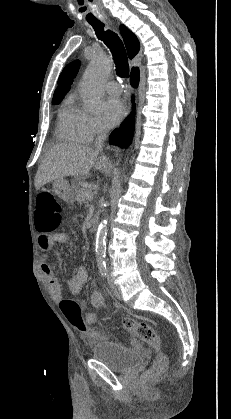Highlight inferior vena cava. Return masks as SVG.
<instances>
[{
    "instance_id": "inferior-vena-cava-1",
    "label": "inferior vena cava",
    "mask_w": 231,
    "mask_h": 419,
    "mask_svg": "<svg viewBox=\"0 0 231 419\" xmlns=\"http://www.w3.org/2000/svg\"><path fill=\"white\" fill-rule=\"evenodd\" d=\"M105 137H106V131L102 130L100 134L98 135V137L96 138L95 147L97 150H102Z\"/></svg>"
}]
</instances>
